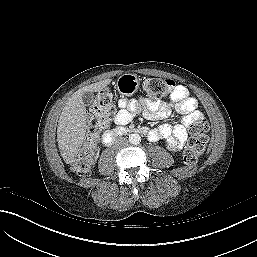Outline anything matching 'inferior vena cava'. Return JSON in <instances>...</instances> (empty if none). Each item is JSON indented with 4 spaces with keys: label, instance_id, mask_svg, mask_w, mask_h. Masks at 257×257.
<instances>
[{
    "label": "inferior vena cava",
    "instance_id": "obj_1",
    "mask_svg": "<svg viewBox=\"0 0 257 257\" xmlns=\"http://www.w3.org/2000/svg\"><path fill=\"white\" fill-rule=\"evenodd\" d=\"M128 144V140L125 137H119L115 140L113 148L118 149L126 146Z\"/></svg>",
    "mask_w": 257,
    "mask_h": 257
}]
</instances>
